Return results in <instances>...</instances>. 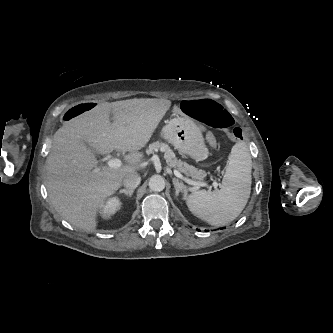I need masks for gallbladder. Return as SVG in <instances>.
Wrapping results in <instances>:
<instances>
[{
  "label": "gallbladder",
  "instance_id": "bac80fb5",
  "mask_svg": "<svg viewBox=\"0 0 333 333\" xmlns=\"http://www.w3.org/2000/svg\"><path fill=\"white\" fill-rule=\"evenodd\" d=\"M86 146H87L88 148H90L91 150H93L92 147H90L88 144H86Z\"/></svg>",
  "mask_w": 333,
  "mask_h": 333
}]
</instances>
